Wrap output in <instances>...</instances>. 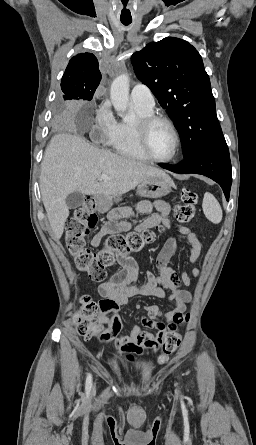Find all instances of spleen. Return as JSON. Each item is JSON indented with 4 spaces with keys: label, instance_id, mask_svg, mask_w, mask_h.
Listing matches in <instances>:
<instances>
[{
    "label": "spleen",
    "instance_id": "1",
    "mask_svg": "<svg viewBox=\"0 0 256 445\" xmlns=\"http://www.w3.org/2000/svg\"><path fill=\"white\" fill-rule=\"evenodd\" d=\"M203 212L206 218L214 224H218L222 220V208L216 198L209 192L204 194L202 203Z\"/></svg>",
    "mask_w": 256,
    "mask_h": 445
}]
</instances>
